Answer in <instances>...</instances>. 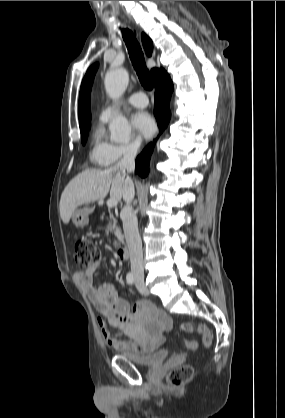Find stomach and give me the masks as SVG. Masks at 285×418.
<instances>
[{
	"label": "stomach",
	"mask_w": 285,
	"mask_h": 418,
	"mask_svg": "<svg viewBox=\"0 0 285 418\" xmlns=\"http://www.w3.org/2000/svg\"><path fill=\"white\" fill-rule=\"evenodd\" d=\"M92 209L85 207L80 210H76L72 215V221L77 227H83L89 222V214Z\"/></svg>",
	"instance_id": "1"
}]
</instances>
